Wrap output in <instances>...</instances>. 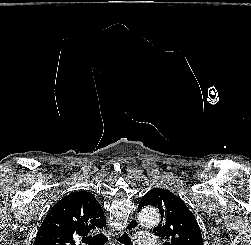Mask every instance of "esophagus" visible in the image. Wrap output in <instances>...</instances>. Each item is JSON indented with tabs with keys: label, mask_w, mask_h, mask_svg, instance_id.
Masks as SVG:
<instances>
[{
	"label": "esophagus",
	"mask_w": 251,
	"mask_h": 245,
	"mask_svg": "<svg viewBox=\"0 0 251 245\" xmlns=\"http://www.w3.org/2000/svg\"><path fill=\"white\" fill-rule=\"evenodd\" d=\"M139 227L138 220L135 217H131L126 225V230L128 232L134 231ZM122 234L121 231L116 233V236H120Z\"/></svg>",
	"instance_id": "obj_1"
}]
</instances>
